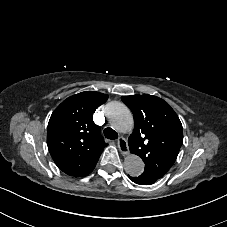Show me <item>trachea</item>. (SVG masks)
<instances>
[{
  "instance_id": "1",
  "label": "trachea",
  "mask_w": 227,
  "mask_h": 227,
  "mask_svg": "<svg viewBox=\"0 0 227 227\" xmlns=\"http://www.w3.org/2000/svg\"><path fill=\"white\" fill-rule=\"evenodd\" d=\"M104 136L110 140H115L118 138L117 132L113 128H110V127H107L104 129Z\"/></svg>"
}]
</instances>
